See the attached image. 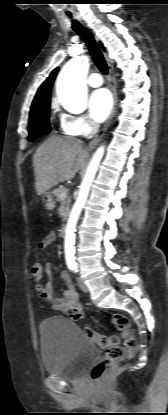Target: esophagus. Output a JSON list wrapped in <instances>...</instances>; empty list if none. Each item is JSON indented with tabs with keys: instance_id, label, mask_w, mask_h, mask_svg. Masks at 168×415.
<instances>
[{
	"instance_id": "34e87169",
	"label": "esophagus",
	"mask_w": 168,
	"mask_h": 415,
	"mask_svg": "<svg viewBox=\"0 0 168 415\" xmlns=\"http://www.w3.org/2000/svg\"><path fill=\"white\" fill-rule=\"evenodd\" d=\"M95 38L98 41V38L97 37H95ZM108 66H109V84H110V88H111L112 95H113V108H112V112H111L108 120L103 125L101 131L89 143L88 149H90V150L94 149L97 146V144L100 142V140L104 136L106 130L110 126V124L112 122V119H113V117L115 115V112H116V106H117V83H116L115 71H114V68L111 65V63L108 62Z\"/></svg>"
}]
</instances>
